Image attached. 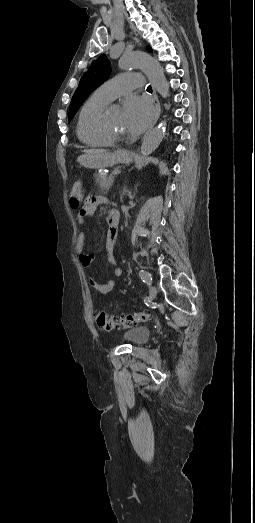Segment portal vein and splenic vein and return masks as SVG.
<instances>
[{
	"label": "portal vein and splenic vein",
	"instance_id": "1",
	"mask_svg": "<svg viewBox=\"0 0 255 523\" xmlns=\"http://www.w3.org/2000/svg\"><path fill=\"white\" fill-rule=\"evenodd\" d=\"M120 174H123V171L119 172V170H117V172L113 173V176H120Z\"/></svg>",
	"mask_w": 255,
	"mask_h": 523
}]
</instances>
